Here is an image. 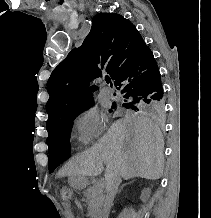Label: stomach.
Segmentation results:
<instances>
[{
  "mask_svg": "<svg viewBox=\"0 0 211 218\" xmlns=\"http://www.w3.org/2000/svg\"><path fill=\"white\" fill-rule=\"evenodd\" d=\"M69 183L73 188L82 189L87 185V179L82 174L74 173L70 175Z\"/></svg>",
  "mask_w": 211,
  "mask_h": 218,
  "instance_id": "stomach-1",
  "label": "stomach"
}]
</instances>
